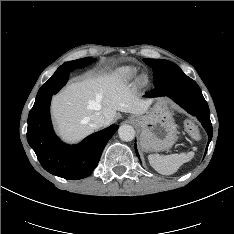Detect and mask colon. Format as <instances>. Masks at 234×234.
<instances>
[{
    "instance_id": "colon-1",
    "label": "colon",
    "mask_w": 234,
    "mask_h": 234,
    "mask_svg": "<svg viewBox=\"0 0 234 234\" xmlns=\"http://www.w3.org/2000/svg\"><path fill=\"white\" fill-rule=\"evenodd\" d=\"M185 129L188 132V134L195 140H199L201 138L200 131L195 123H193L191 120H187L184 123Z\"/></svg>"
}]
</instances>
